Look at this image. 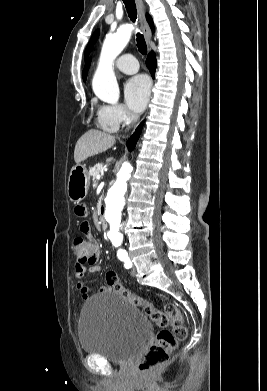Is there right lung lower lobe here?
Instances as JSON below:
<instances>
[{
    "instance_id": "98d812e1",
    "label": "right lung lower lobe",
    "mask_w": 267,
    "mask_h": 391,
    "mask_svg": "<svg viewBox=\"0 0 267 391\" xmlns=\"http://www.w3.org/2000/svg\"><path fill=\"white\" fill-rule=\"evenodd\" d=\"M146 65H147L148 69L150 70L152 77L154 78L155 69H156V58H155L154 52H151L148 55L147 60H146ZM142 127H143V122L137 127L134 134L128 139L126 145L129 149V151H132L134 149L136 142L139 138V135L141 133Z\"/></svg>"
}]
</instances>
